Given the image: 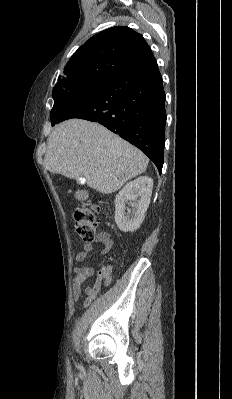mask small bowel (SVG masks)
Instances as JSON below:
<instances>
[{
  "instance_id": "1",
  "label": "small bowel",
  "mask_w": 232,
  "mask_h": 399,
  "mask_svg": "<svg viewBox=\"0 0 232 399\" xmlns=\"http://www.w3.org/2000/svg\"><path fill=\"white\" fill-rule=\"evenodd\" d=\"M112 247L111 242H105L101 249L100 253L101 254H106L110 248ZM92 245L91 243H86L84 246V249L78 253L77 260L78 263L81 265H84L89 257L90 251H91ZM90 274V271L88 268L85 266H79L75 269V276L73 279V293H72V301L76 302L79 300L81 296V287L86 281ZM86 298L84 300L83 306L86 307L89 305V303L92 300L93 297V287L92 286H87L86 287Z\"/></svg>"
}]
</instances>
